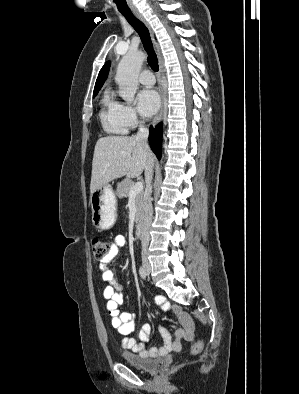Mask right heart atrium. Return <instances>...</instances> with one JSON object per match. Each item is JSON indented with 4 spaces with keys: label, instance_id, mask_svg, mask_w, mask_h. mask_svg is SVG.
Listing matches in <instances>:
<instances>
[{
    "label": "right heart atrium",
    "instance_id": "right-heart-atrium-1",
    "mask_svg": "<svg viewBox=\"0 0 299 394\" xmlns=\"http://www.w3.org/2000/svg\"><path fill=\"white\" fill-rule=\"evenodd\" d=\"M121 114L127 129H133L141 122L137 111L130 104L121 106Z\"/></svg>",
    "mask_w": 299,
    "mask_h": 394
}]
</instances>
